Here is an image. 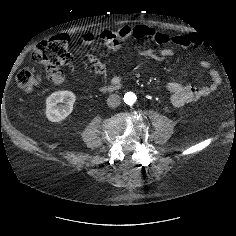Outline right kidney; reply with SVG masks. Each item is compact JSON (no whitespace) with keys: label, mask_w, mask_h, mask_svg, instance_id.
Instances as JSON below:
<instances>
[{"label":"right kidney","mask_w":236,"mask_h":236,"mask_svg":"<svg viewBox=\"0 0 236 236\" xmlns=\"http://www.w3.org/2000/svg\"><path fill=\"white\" fill-rule=\"evenodd\" d=\"M76 96L71 91H56L46 99V117L51 122L64 120L73 110ZM65 103V105H58Z\"/></svg>","instance_id":"1"}]
</instances>
